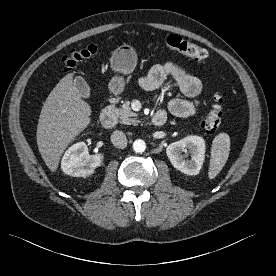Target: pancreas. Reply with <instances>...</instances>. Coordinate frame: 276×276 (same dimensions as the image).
<instances>
[{
    "instance_id": "cf45deb5",
    "label": "pancreas",
    "mask_w": 276,
    "mask_h": 276,
    "mask_svg": "<svg viewBox=\"0 0 276 276\" xmlns=\"http://www.w3.org/2000/svg\"><path fill=\"white\" fill-rule=\"evenodd\" d=\"M116 114L122 124L131 125L139 122L138 114L131 110L130 101L128 100L123 103L121 108L116 109Z\"/></svg>"
}]
</instances>
